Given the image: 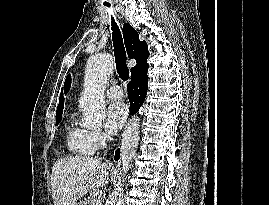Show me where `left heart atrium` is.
<instances>
[{"instance_id":"obj_1","label":"left heart atrium","mask_w":269,"mask_h":205,"mask_svg":"<svg viewBox=\"0 0 269 205\" xmlns=\"http://www.w3.org/2000/svg\"><path fill=\"white\" fill-rule=\"evenodd\" d=\"M128 117L127 106L123 102L112 103L107 111L106 128L110 134H116L124 126Z\"/></svg>"}]
</instances>
